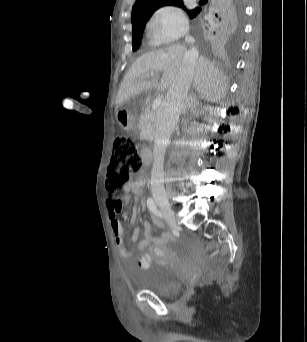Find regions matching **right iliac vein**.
I'll use <instances>...</instances> for the list:
<instances>
[{
	"mask_svg": "<svg viewBox=\"0 0 307 342\" xmlns=\"http://www.w3.org/2000/svg\"><path fill=\"white\" fill-rule=\"evenodd\" d=\"M156 204L160 207L165 219L171 228H177L178 224L174 215V211L165 196H159L155 198Z\"/></svg>",
	"mask_w": 307,
	"mask_h": 342,
	"instance_id": "obj_1",
	"label": "right iliac vein"
}]
</instances>
